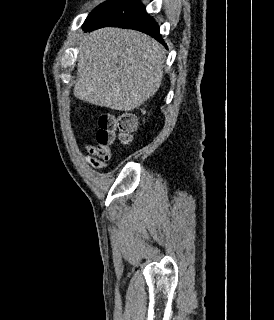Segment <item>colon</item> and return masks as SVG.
Masks as SVG:
<instances>
[{"label":"colon","mask_w":274,"mask_h":320,"mask_svg":"<svg viewBox=\"0 0 274 320\" xmlns=\"http://www.w3.org/2000/svg\"><path fill=\"white\" fill-rule=\"evenodd\" d=\"M137 127L138 120L133 113L123 112L117 117L101 114L97 118L96 143H105L106 149H109L115 130L119 132L121 143H129L132 140V133L136 131Z\"/></svg>","instance_id":"1"}]
</instances>
